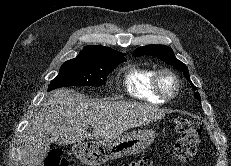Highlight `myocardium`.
Returning a JSON list of instances; mask_svg holds the SVG:
<instances>
[{
	"label": "myocardium",
	"instance_id": "myocardium-1",
	"mask_svg": "<svg viewBox=\"0 0 231 166\" xmlns=\"http://www.w3.org/2000/svg\"><path fill=\"white\" fill-rule=\"evenodd\" d=\"M164 76L170 77L174 82V90L171 93L165 91V89L162 86V78ZM152 89L158 97H160L165 101H170L174 99L180 91V79L176 75V73L170 69L167 68L159 69L155 72L152 78Z\"/></svg>",
	"mask_w": 231,
	"mask_h": 166
}]
</instances>
